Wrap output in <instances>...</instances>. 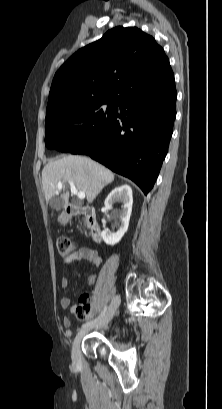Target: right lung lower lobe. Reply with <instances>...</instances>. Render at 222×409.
<instances>
[{
  "mask_svg": "<svg viewBox=\"0 0 222 409\" xmlns=\"http://www.w3.org/2000/svg\"><path fill=\"white\" fill-rule=\"evenodd\" d=\"M168 88L118 103L102 145L85 154L130 178L145 195L153 187L167 154L176 117L173 73L161 75Z\"/></svg>",
  "mask_w": 222,
  "mask_h": 409,
  "instance_id": "right-lung-lower-lobe-1",
  "label": "right lung lower lobe"
}]
</instances>
